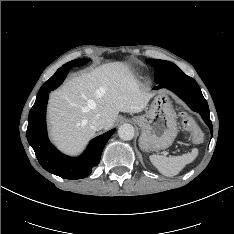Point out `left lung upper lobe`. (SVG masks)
<instances>
[{
  "label": "left lung upper lobe",
  "mask_w": 234,
  "mask_h": 234,
  "mask_svg": "<svg viewBox=\"0 0 234 234\" xmlns=\"http://www.w3.org/2000/svg\"><path fill=\"white\" fill-rule=\"evenodd\" d=\"M146 61L155 69L156 83L184 74L179 67L171 62L157 59H147Z\"/></svg>",
  "instance_id": "1"
}]
</instances>
